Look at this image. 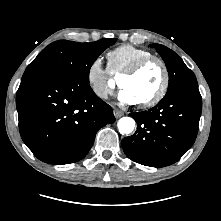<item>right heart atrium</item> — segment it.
Returning a JSON list of instances; mask_svg holds the SVG:
<instances>
[{
	"label": "right heart atrium",
	"mask_w": 221,
	"mask_h": 221,
	"mask_svg": "<svg viewBox=\"0 0 221 221\" xmlns=\"http://www.w3.org/2000/svg\"><path fill=\"white\" fill-rule=\"evenodd\" d=\"M86 82L91 92L99 99L105 100L113 95L112 77L103 65L101 57H95L87 67Z\"/></svg>",
	"instance_id": "right-heart-atrium-1"
}]
</instances>
